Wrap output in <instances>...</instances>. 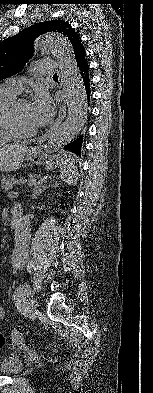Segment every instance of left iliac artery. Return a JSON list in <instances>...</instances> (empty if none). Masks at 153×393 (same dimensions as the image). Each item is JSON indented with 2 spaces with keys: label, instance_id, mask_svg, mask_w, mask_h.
I'll use <instances>...</instances> for the list:
<instances>
[{
  "label": "left iliac artery",
  "instance_id": "left-iliac-artery-1",
  "mask_svg": "<svg viewBox=\"0 0 153 393\" xmlns=\"http://www.w3.org/2000/svg\"><path fill=\"white\" fill-rule=\"evenodd\" d=\"M29 287L27 285H19L14 292V302L18 309L22 307V301L24 302L28 297Z\"/></svg>",
  "mask_w": 153,
  "mask_h": 393
}]
</instances>
